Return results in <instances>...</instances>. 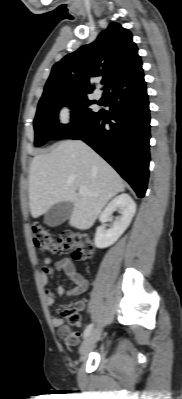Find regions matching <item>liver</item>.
Here are the masks:
<instances>
[{
    "mask_svg": "<svg viewBox=\"0 0 182 399\" xmlns=\"http://www.w3.org/2000/svg\"><path fill=\"white\" fill-rule=\"evenodd\" d=\"M86 187L88 194L77 189ZM125 190L118 173L93 149L79 140L60 142L50 153L36 155L30 167L29 207L33 218L53 205L74 204L69 224L89 229L107 202Z\"/></svg>",
    "mask_w": 182,
    "mask_h": 399,
    "instance_id": "liver-1",
    "label": "liver"
}]
</instances>
